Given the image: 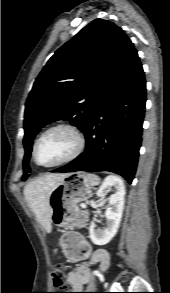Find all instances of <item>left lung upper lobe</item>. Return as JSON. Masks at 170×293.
Returning a JSON list of instances; mask_svg holds the SVG:
<instances>
[{"instance_id": "obj_1", "label": "left lung upper lobe", "mask_w": 170, "mask_h": 293, "mask_svg": "<svg viewBox=\"0 0 170 293\" xmlns=\"http://www.w3.org/2000/svg\"><path fill=\"white\" fill-rule=\"evenodd\" d=\"M134 49L123 30L95 19L59 48L36 78L25 108L23 169L36 134L55 120L83 131L113 77ZM25 173L22 180L28 178Z\"/></svg>"}]
</instances>
